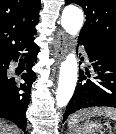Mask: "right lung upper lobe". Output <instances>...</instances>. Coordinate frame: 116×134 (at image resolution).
Wrapping results in <instances>:
<instances>
[{"instance_id": "obj_1", "label": "right lung upper lobe", "mask_w": 116, "mask_h": 134, "mask_svg": "<svg viewBox=\"0 0 116 134\" xmlns=\"http://www.w3.org/2000/svg\"><path fill=\"white\" fill-rule=\"evenodd\" d=\"M40 0H0V62L34 42Z\"/></svg>"}]
</instances>
